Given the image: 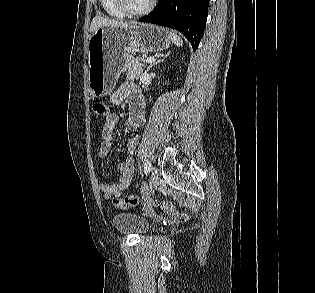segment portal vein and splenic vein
Masks as SVG:
<instances>
[{
	"instance_id": "obj_1",
	"label": "portal vein and splenic vein",
	"mask_w": 315,
	"mask_h": 293,
	"mask_svg": "<svg viewBox=\"0 0 315 293\" xmlns=\"http://www.w3.org/2000/svg\"><path fill=\"white\" fill-rule=\"evenodd\" d=\"M143 61L146 63H153V62H155V59L153 57H148L146 59H143Z\"/></svg>"
}]
</instances>
